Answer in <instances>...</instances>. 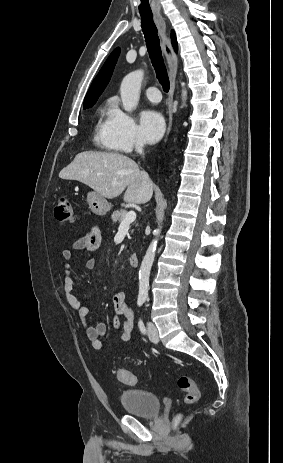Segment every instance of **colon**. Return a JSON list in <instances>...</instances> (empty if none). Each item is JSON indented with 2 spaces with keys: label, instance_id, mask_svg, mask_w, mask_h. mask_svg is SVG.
<instances>
[{
  "label": "colon",
  "instance_id": "obj_1",
  "mask_svg": "<svg viewBox=\"0 0 283 463\" xmlns=\"http://www.w3.org/2000/svg\"><path fill=\"white\" fill-rule=\"evenodd\" d=\"M55 217L61 224H71L74 222V213L71 200L67 197H60L55 208ZM115 375L118 381L126 385H136L139 382L138 377L123 368H117ZM177 386L183 393V403L192 405L199 401L200 390L196 382L189 376L181 375L177 380ZM182 419V413H178L175 417V424H178Z\"/></svg>",
  "mask_w": 283,
  "mask_h": 463
}]
</instances>
